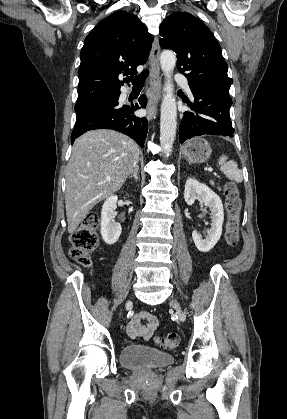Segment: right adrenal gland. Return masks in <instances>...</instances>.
Here are the masks:
<instances>
[{"label": "right adrenal gland", "mask_w": 287, "mask_h": 419, "mask_svg": "<svg viewBox=\"0 0 287 419\" xmlns=\"http://www.w3.org/2000/svg\"><path fill=\"white\" fill-rule=\"evenodd\" d=\"M138 174H139V167L135 166L132 173L129 176V179H135L138 180Z\"/></svg>", "instance_id": "2a0ac1e0"}]
</instances>
